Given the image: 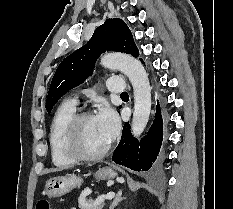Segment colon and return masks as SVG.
<instances>
[{
    "label": "colon",
    "instance_id": "5ec220e1",
    "mask_svg": "<svg viewBox=\"0 0 233 209\" xmlns=\"http://www.w3.org/2000/svg\"><path fill=\"white\" fill-rule=\"evenodd\" d=\"M36 209H52L51 204L46 199H41L36 204Z\"/></svg>",
    "mask_w": 233,
    "mask_h": 209
}]
</instances>
